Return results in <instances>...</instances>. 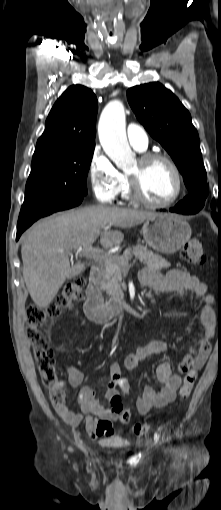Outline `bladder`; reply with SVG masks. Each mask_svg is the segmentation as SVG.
<instances>
[{"instance_id":"31cf9c89","label":"bladder","mask_w":221,"mask_h":510,"mask_svg":"<svg viewBox=\"0 0 221 510\" xmlns=\"http://www.w3.org/2000/svg\"><path fill=\"white\" fill-rule=\"evenodd\" d=\"M108 447H112V448H122L121 445H119L118 443H115V442H110L107 444Z\"/></svg>"}]
</instances>
